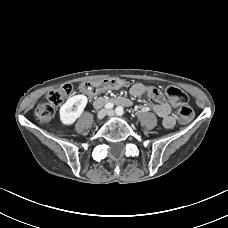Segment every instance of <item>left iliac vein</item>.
<instances>
[{
	"label": "left iliac vein",
	"instance_id": "obj_1",
	"mask_svg": "<svg viewBox=\"0 0 228 228\" xmlns=\"http://www.w3.org/2000/svg\"><path fill=\"white\" fill-rule=\"evenodd\" d=\"M107 114L111 117L115 116V112L113 110H109Z\"/></svg>",
	"mask_w": 228,
	"mask_h": 228
}]
</instances>
